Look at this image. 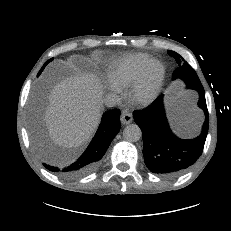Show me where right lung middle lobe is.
<instances>
[{
	"label": "right lung middle lobe",
	"mask_w": 231,
	"mask_h": 231,
	"mask_svg": "<svg viewBox=\"0 0 231 231\" xmlns=\"http://www.w3.org/2000/svg\"><path fill=\"white\" fill-rule=\"evenodd\" d=\"M51 60H52V59H51ZM51 60H49V61H51ZM49 61H48V62H49ZM48 62H47V63H48ZM45 65H46V64H45ZM45 65H44V66H45ZM44 66H43V68L40 70L39 74H40V73L42 72V70L44 69ZM38 126H39V125L37 124V127H36L37 129H38ZM36 128H35V129H36ZM38 130H39V129H38Z\"/></svg>",
	"instance_id": "1"
}]
</instances>
